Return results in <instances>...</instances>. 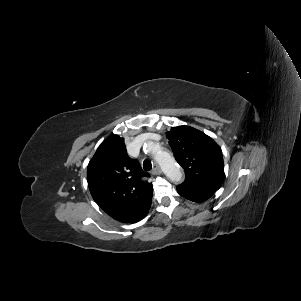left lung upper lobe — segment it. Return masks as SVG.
Masks as SVG:
<instances>
[{"mask_svg":"<svg viewBox=\"0 0 301 301\" xmlns=\"http://www.w3.org/2000/svg\"><path fill=\"white\" fill-rule=\"evenodd\" d=\"M176 161L184 168L183 188L215 193L223 177L221 148L205 133L189 126L167 132Z\"/></svg>","mask_w":301,"mask_h":301,"instance_id":"left-lung-upper-lobe-1","label":"left lung upper lobe"}]
</instances>
